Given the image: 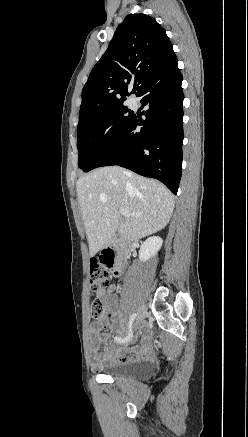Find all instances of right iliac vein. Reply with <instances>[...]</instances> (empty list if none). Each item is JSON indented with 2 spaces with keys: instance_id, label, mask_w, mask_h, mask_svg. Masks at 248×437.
Masks as SVG:
<instances>
[{
  "instance_id": "1",
  "label": "right iliac vein",
  "mask_w": 248,
  "mask_h": 437,
  "mask_svg": "<svg viewBox=\"0 0 248 437\" xmlns=\"http://www.w3.org/2000/svg\"><path fill=\"white\" fill-rule=\"evenodd\" d=\"M145 313H146V309L144 306H141L138 310V314H137V321L136 323L139 324L141 323V321L144 319L145 317Z\"/></svg>"
}]
</instances>
